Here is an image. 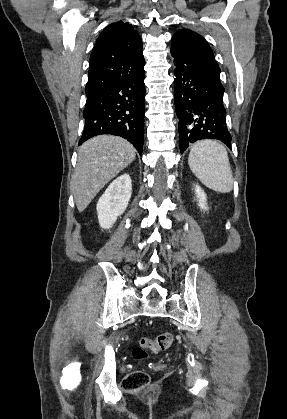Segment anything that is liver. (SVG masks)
Listing matches in <instances>:
<instances>
[{
  "instance_id": "1",
  "label": "liver",
  "mask_w": 287,
  "mask_h": 419,
  "mask_svg": "<svg viewBox=\"0 0 287 419\" xmlns=\"http://www.w3.org/2000/svg\"><path fill=\"white\" fill-rule=\"evenodd\" d=\"M136 150L118 136L94 137L78 150V160L71 189L79 212H83L99 191L131 164Z\"/></svg>"
}]
</instances>
